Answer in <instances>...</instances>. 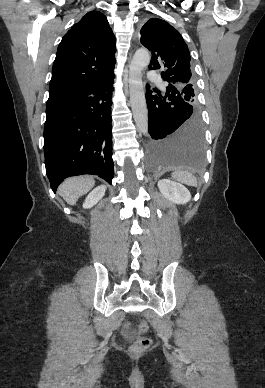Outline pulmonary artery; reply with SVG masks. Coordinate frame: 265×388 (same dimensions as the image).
<instances>
[{
  "label": "pulmonary artery",
  "mask_w": 265,
  "mask_h": 388,
  "mask_svg": "<svg viewBox=\"0 0 265 388\" xmlns=\"http://www.w3.org/2000/svg\"><path fill=\"white\" fill-rule=\"evenodd\" d=\"M149 79L152 80V82H162L163 81V76L158 75V72H149Z\"/></svg>",
  "instance_id": "1"
}]
</instances>
